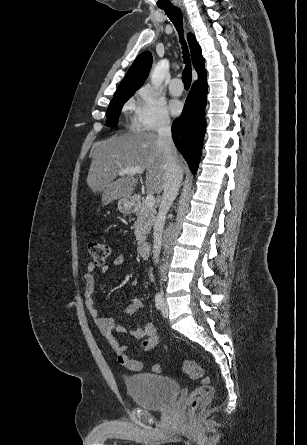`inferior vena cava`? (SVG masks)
<instances>
[{
  "label": "inferior vena cava",
  "mask_w": 307,
  "mask_h": 445,
  "mask_svg": "<svg viewBox=\"0 0 307 445\" xmlns=\"http://www.w3.org/2000/svg\"><path fill=\"white\" fill-rule=\"evenodd\" d=\"M158 138L165 148V182L162 194L161 204L159 206L157 218L153 229V259L155 263L159 261V255L162 247L163 227L165 223V214L172 206L175 200L181 180L183 170L178 162L177 148L172 140L171 124L169 116H161L158 124Z\"/></svg>",
  "instance_id": "obj_1"
}]
</instances>
